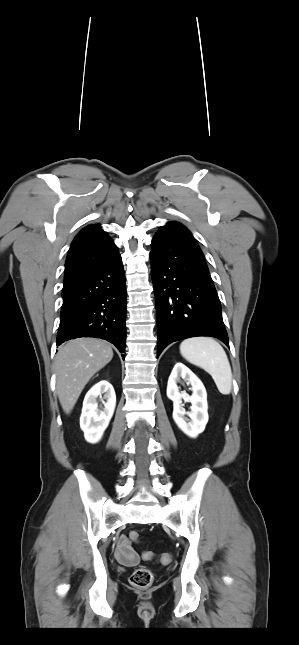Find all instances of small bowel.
<instances>
[{"label":"small bowel","instance_id":"c3829d8e","mask_svg":"<svg viewBox=\"0 0 299 645\" xmlns=\"http://www.w3.org/2000/svg\"><path fill=\"white\" fill-rule=\"evenodd\" d=\"M115 556L117 560L127 566H133L138 563V554L131 546V539L126 535H121L116 543Z\"/></svg>","mask_w":299,"mask_h":645}]
</instances>
